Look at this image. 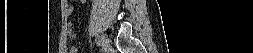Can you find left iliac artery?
<instances>
[{
	"instance_id": "obj_1",
	"label": "left iliac artery",
	"mask_w": 253,
	"mask_h": 53,
	"mask_svg": "<svg viewBox=\"0 0 253 53\" xmlns=\"http://www.w3.org/2000/svg\"><path fill=\"white\" fill-rule=\"evenodd\" d=\"M93 39H94V42L96 43V45L98 46L99 51H102L101 46L103 45V42L99 41L100 36L98 35V33H95V35L93 36Z\"/></svg>"
}]
</instances>
